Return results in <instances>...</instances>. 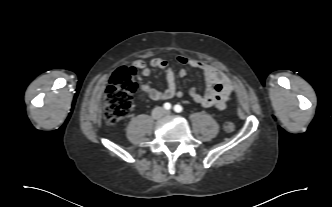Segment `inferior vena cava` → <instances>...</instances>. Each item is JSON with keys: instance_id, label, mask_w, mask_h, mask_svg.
<instances>
[{"instance_id": "602c4592", "label": "inferior vena cava", "mask_w": 332, "mask_h": 207, "mask_svg": "<svg viewBox=\"0 0 332 207\" xmlns=\"http://www.w3.org/2000/svg\"><path fill=\"white\" fill-rule=\"evenodd\" d=\"M160 109V107H157L154 111H153V117L154 118H158V116H156L155 114H154V112L156 111V110H159Z\"/></svg>"}]
</instances>
